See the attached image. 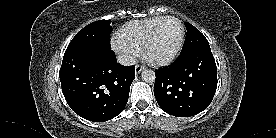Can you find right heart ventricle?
Segmentation results:
<instances>
[{
    "mask_svg": "<svg viewBox=\"0 0 276 138\" xmlns=\"http://www.w3.org/2000/svg\"><path fill=\"white\" fill-rule=\"evenodd\" d=\"M164 18V16H158L130 22L119 31L117 39L138 51L142 50L155 26Z\"/></svg>",
    "mask_w": 276,
    "mask_h": 138,
    "instance_id": "obj_1",
    "label": "right heart ventricle"
}]
</instances>
